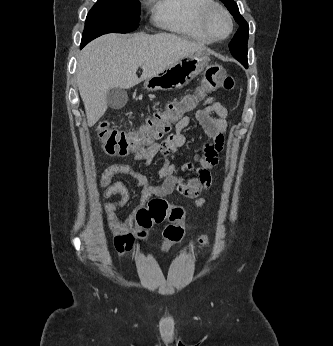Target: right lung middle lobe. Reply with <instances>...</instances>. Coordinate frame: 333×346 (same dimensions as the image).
<instances>
[{"mask_svg": "<svg viewBox=\"0 0 333 346\" xmlns=\"http://www.w3.org/2000/svg\"><path fill=\"white\" fill-rule=\"evenodd\" d=\"M139 21V0H98L87 15L81 48L106 33L134 31Z\"/></svg>", "mask_w": 333, "mask_h": 346, "instance_id": "obj_1", "label": "right lung middle lobe"}]
</instances>
